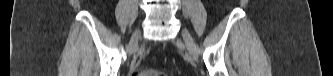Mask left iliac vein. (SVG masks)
I'll list each match as a JSON object with an SVG mask.
<instances>
[{
  "instance_id": "left-iliac-vein-1",
  "label": "left iliac vein",
  "mask_w": 333,
  "mask_h": 76,
  "mask_svg": "<svg viewBox=\"0 0 333 76\" xmlns=\"http://www.w3.org/2000/svg\"><path fill=\"white\" fill-rule=\"evenodd\" d=\"M182 37L185 42L186 48L188 52L196 59L197 58V53H198V48L193 40L192 36L187 30L182 31Z\"/></svg>"
}]
</instances>
